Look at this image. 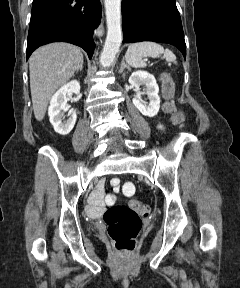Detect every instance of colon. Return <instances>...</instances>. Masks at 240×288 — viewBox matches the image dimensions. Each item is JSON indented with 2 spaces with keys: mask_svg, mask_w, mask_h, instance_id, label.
Instances as JSON below:
<instances>
[{
  "mask_svg": "<svg viewBox=\"0 0 240 288\" xmlns=\"http://www.w3.org/2000/svg\"><path fill=\"white\" fill-rule=\"evenodd\" d=\"M164 93L169 101L165 104V110L174 116L177 123L182 122L183 116L176 111L170 100L173 96V85L166 79ZM131 191V188H127ZM149 207L138 200H132L128 205H118L109 208L103 215L107 226V233L113 246L121 253L129 254L136 247L137 237L142 227V216L149 214Z\"/></svg>",
  "mask_w": 240,
  "mask_h": 288,
  "instance_id": "5ec220e1",
  "label": "colon"
}]
</instances>
